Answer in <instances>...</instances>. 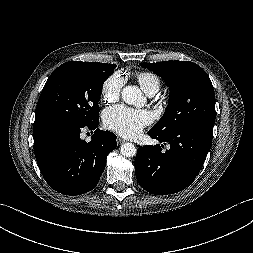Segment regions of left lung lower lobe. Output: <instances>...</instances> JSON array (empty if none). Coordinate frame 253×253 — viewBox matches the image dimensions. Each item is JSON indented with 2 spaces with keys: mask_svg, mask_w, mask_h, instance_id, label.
Listing matches in <instances>:
<instances>
[{
  "mask_svg": "<svg viewBox=\"0 0 253 253\" xmlns=\"http://www.w3.org/2000/svg\"><path fill=\"white\" fill-rule=\"evenodd\" d=\"M212 123L197 122L182 125L171 134H148L163 145L139 147L135 158L138 183L151 194L167 195L188 187L200 172L212 145ZM166 145V143H164Z\"/></svg>",
  "mask_w": 253,
  "mask_h": 253,
  "instance_id": "0a47b994",
  "label": "left lung lower lobe"
}]
</instances>
